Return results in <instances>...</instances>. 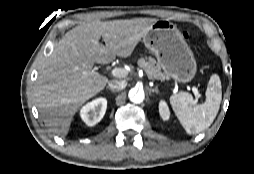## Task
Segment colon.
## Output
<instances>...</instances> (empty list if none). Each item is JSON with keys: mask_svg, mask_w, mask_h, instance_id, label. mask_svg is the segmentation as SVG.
I'll return each instance as SVG.
<instances>
[{"mask_svg": "<svg viewBox=\"0 0 254 174\" xmlns=\"http://www.w3.org/2000/svg\"><path fill=\"white\" fill-rule=\"evenodd\" d=\"M184 36H185V37H188V34H187V33H184Z\"/></svg>", "mask_w": 254, "mask_h": 174, "instance_id": "1", "label": "colon"}]
</instances>
